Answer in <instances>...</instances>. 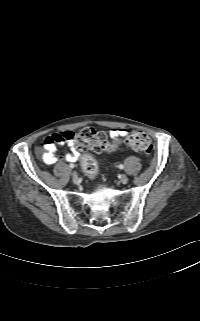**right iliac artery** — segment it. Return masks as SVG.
Here are the masks:
<instances>
[{
	"label": "right iliac artery",
	"mask_w": 200,
	"mask_h": 321,
	"mask_svg": "<svg viewBox=\"0 0 200 321\" xmlns=\"http://www.w3.org/2000/svg\"><path fill=\"white\" fill-rule=\"evenodd\" d=\"M69 167H70V168H74V164L71 163V164L69 165Z\"/></svg>",
	"instance_id": "obj_1"
}]
</instances>
